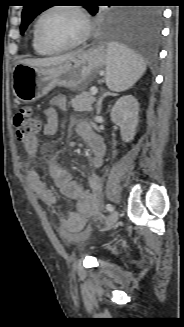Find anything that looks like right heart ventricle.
<instances>
[{
  "label": "right heart ventricle",
  "mask_w": 184,
  "mask_h": 327,
  "mask_svg": "<svg viewBox=\"0 0 184 327\" xmlns=\"http://www.w3.org/2000/svg\"><path fill=\"white\" fill-rule=\"evenodd\" d=\"M32 47L34 49V51L38 54V55H42V56H46V55H51L54 52H51L45 48H43L36 40L34 32L32 35Z\"/></svg>",
  "instance_id": "1"
}]
</instances>
